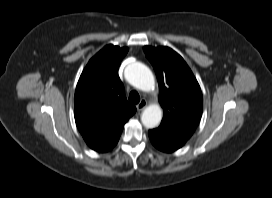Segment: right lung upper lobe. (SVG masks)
<instances>
[{"mask_svg": "<svg viewBox=\"0 0 272 198\" xmlns=\"http://www.w3.org/2000/svg\"><path fill=\"white\" fill-rule=\"evenodd\" d=\"M128 48L105 46L87 64L74 97L76 125L87 145L99 150L107 145L135 113L129 104L118 68Z\"/></svg>", "mask_w": 272, "mask_h": 198, "instance_id": "1", "label": "right lung upper lobe"}]
</instances>
